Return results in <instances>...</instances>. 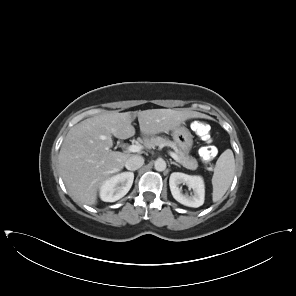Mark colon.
Wrapping results in <instances>:
<instances>
[{
    "mask_svg": "<svg viewBox=\"0 0 296 296\" xmlns=\"http://www.w3.org/2000/svg\"><path fill=\"white\" fill-rule=\"evenodd\" d=\"M192 131L199 137L209 141V128L200 120L194 121L191 124ZM215 156V149L211 145H207L200 150V157L203 161H209Z\"/></svg>",
    "mask_w": 296,
    "mask_h": 296,
    "instance_id": "obj_1",
    "label": "colon"
}]
</instances>
